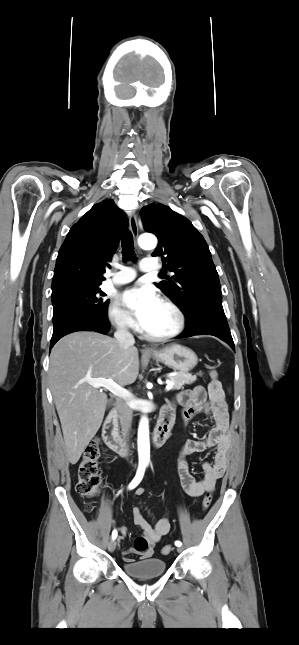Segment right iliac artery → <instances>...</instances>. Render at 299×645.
Masks as SVG:
<instances>
[{
	"instance_id": "right-iliac-artery-1",
	"label": "right iliac artery",
	"mask_w": 299,
	"mask_h": 645,
	"mask_svg": "<svg viewBox=\"0 0 299 645\" xmlns=\"http://www.w3.org/2000/svg\"><path fill=\"white\" fill-rule=\"evenodd\" d=\"M144 472H145V466H139L134 479L129 484V487H128L129 489H134L141 482V480L143 478V475H144ZM117 534H118L117 531L113 530V532H112V539L113 540L116 539Z\"/></svg>"
}]
</instances>
